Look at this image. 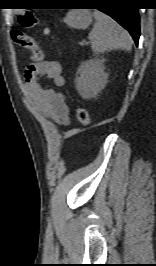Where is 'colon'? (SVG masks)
<instances>
[{"label": "colon", "instance_id": "5ec220e1", "mask_svg": "<svg viewBox=\"0 0 156 266\" xmlns=\"http://www.w3.org/2000/svg\"><path fill=\"white\" fill-rule=\"evenodd\" d=\"M20 24L22 27L30 29L34 28L39 24L37 17L31 11H26L20 16ZM44 33L49 35L50 30L48 28H44ZM14 41L22 48L27 49L31 52V59L33 64L39 63L43 59V52L40 47L36 44L34 39L19 31L16 30L13 32ZM76 117L80 124L84 127H89L91 125V118L87 112V110L83 107H77L75 109Z\"/></svg>", "mask_w": 156, "mask_h": 266}]
</instances>
